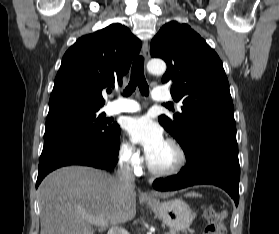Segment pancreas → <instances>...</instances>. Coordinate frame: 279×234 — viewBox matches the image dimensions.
<instances>
[{"label":"pancreas","instance_id":"pancreas-1","mask_svg":"<svg viewBox=\"0 0 279 234\" xmlns=\"http://www.w3.org/2000/svg\"><path fill=\"white\" fill-rule=\"evenodd\" d=\"M166 234H176L174 231H171L169 233H166Z\"/></svg>","mask_w":279,"mask_h":234}]
</instances>
